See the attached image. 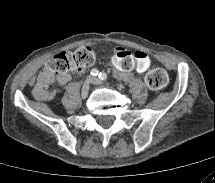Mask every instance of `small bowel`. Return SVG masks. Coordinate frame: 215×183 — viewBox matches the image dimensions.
Segmentation results:
<instances>
[{
	"instance_id": "c3829d8e",
	"label": "small bowel",
	"mask_w": 215,
	"mask_h": 183,
	"mask_svg": "<svg viewBox=\"0 0 215 183\" xmlns=\"http://www.w3.org/2000/svg\"><path fill=\"white\" fill-rule=\"evenodd\" d=\"M117 46L114 48V53L111 57V65L114 74L121 80H130L131 76L143 75L150 68V57L143 50H130ZM81 70L80 72H82ZM44 70L39 73L35 83L33 84L32 94L39 101L52 100L56 97V90H48L49 85L54 80H43ZM72 80L71 74H67L57 79L61 85H66Z\"/></svg>"
}]
</instances>
